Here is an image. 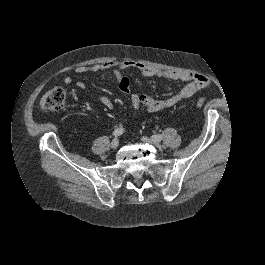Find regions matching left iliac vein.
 Returning <instances> with one entry per match:
<instances>
[{"label":"left iliac vein","mask_w":265,"mask_h":265,"mask_svg":"<svg viewBox=\"0 0 265 265\" xmlns=\"http://www.w3.org/2000/svg\"><path fill=\"white\" fill-rule=\"evenodd\" d=\"M141 140L144 141V142H148V143L154 144L155 146H159V142L158 141H154L151 138L142 137Z\"/></svg>","instance_id":"1"}]
</instances>
